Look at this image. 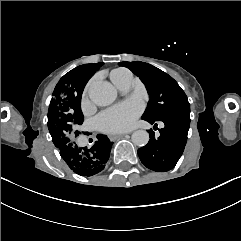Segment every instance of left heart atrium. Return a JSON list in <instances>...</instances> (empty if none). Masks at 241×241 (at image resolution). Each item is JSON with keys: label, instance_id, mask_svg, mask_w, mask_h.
<instances>
[{"label": "left heart atrium", "instance_id": "left-heart-atrium-1", "mask_svg": "<svg viewBox=\"0 0 241 241\" xmlns=\"http://www.w3.org/2000/svg\"><path fill=\"white\" fill-rule=\"evenodd\" d=\"M139 112V107L120 105L98 114L95 122L98 128L104 132L123 133L134 128Z\"/></svg>", "mask_w": 241, "mask_h": 241}]
</instances>
